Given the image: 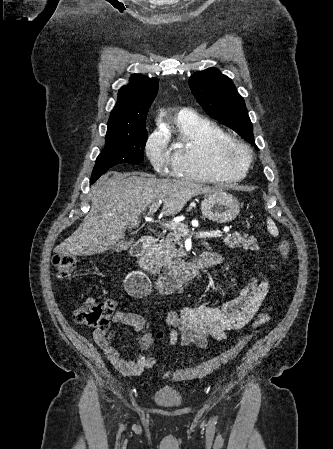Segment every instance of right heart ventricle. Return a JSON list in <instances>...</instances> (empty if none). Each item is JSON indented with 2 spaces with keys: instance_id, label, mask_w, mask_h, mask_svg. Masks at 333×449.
Returning <instances> with one entry per match:
<instances>
[{
  "instance_id": "1",
  "label": "right heart ventricle",
  "mask_w": 333,
  "mask_h": 449,
  "mask_svg": "<svg viewBox=\"0 0 333 449\" xmlns=\"http://www.w3.org/2000/svg\"><path fill=\"white\" fill-rule=\"evenodd\" d=\"M228 136L222 127L206 119L178 120L171 154L174 176L206 183L242 179L248 168L229 172L216 163L215 146Z\"/></svg>"
}]
</instances>
